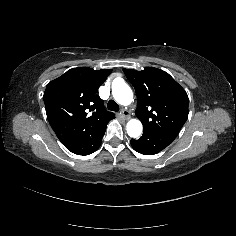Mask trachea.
Segmentation results:
<instances>
[{
  "instance_id": "3493384b",
  "label": "trachea",
  "mask_w": 236,
  "mask_h": 236,
  "mask_svg": "<svg viewBox=\"0 0 236 236\" xmlns=\"http://www.w3.org/2000/svg\"><path fill=\"white\" fill-rule=\"evenodd\" d=\"M107 108L110 110V111H115V112H118L120 110L118 104L116 102H114L113 100H110L107 104Z\"/></svg>"
}]
</instances>
